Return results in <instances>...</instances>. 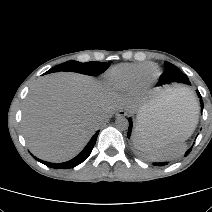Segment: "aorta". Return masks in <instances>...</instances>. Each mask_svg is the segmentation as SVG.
<instances>
[{"mask_svg":"<svg viewBox=\"0 0 212 212\" xmlns=\"http://www.w3.org/2000/svg\"><path fill=\"white\" fill-rule=\"evenodd\" d=\"M115 126L118 130L128 129L129 122L125 117H118L115 121Z\"/></svg>","mask_w":212,"mask_h":212,"instance_id":"1","label":"aorta"}]
</instances>
